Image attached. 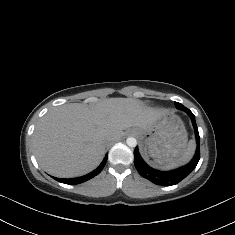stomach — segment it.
<instances>
[{"label": "stomach", "instance_id": "1", "mask_svg": "<svg viewBox=\"0 0 235 235\" xmlns=\"http://www.w3.org/2000/svg\"><path fill=\"white\" fill-rule=\"evenodd\" d=\"M142 144L151 164L162 167L179 158L187 147V133L182 121L173 113L165 112L148 129L131 128Z\"/></svg>", "mask_w": 235, "mask_h": 235}]
</instances>
